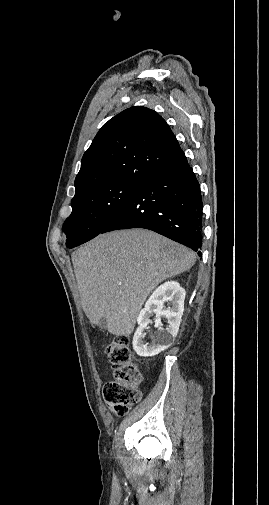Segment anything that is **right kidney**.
<instances>
[{"mask_svg":"<svg viewBox=\"0 0 269 505\" xmlns=\"http://www.w3.org/2000/svg\"><path fill=\"white\" fill-rule=\"evenodd\" d=\"M185 295L184 288L176 281L165 282L152 293L137 318L139 326L133 337V349L139 356L152 357L171 346L179 330ZM153 314H155L158 329L154 333L152 343L145 344L144 331L148 328ZM161 318L167 320L166 328L161 327Z\"/></svg>","mask_w":269,"mask_h":505,"instance_id":"right-kidney-1","label":"right kidney"}]
</instances>
